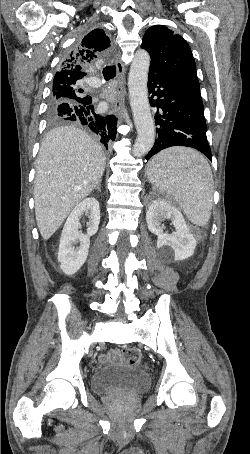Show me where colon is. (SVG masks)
<instances>
[{
    "instance_id": "obj_1",
    "label": "colon",
    "mask_w": 250,
    "mask_h": 454,
    "mask_svg": "<svg viewBox=\"0 0 250 454\" xmlns=\"http://www.w3.org/2000/svg\"><path fill=\"white\" fill-rule=\"evenodd\" d=\"M123 361L131 366H139L142 363V355L135 348H125L122 350Z\"/></svg>"
}]
</instances>
